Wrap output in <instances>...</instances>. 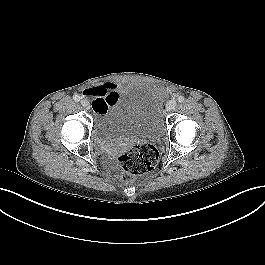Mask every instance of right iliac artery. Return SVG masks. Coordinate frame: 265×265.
Masks as SVG:
<instances>
[{
    "label": "right iliac artery",
    "instance_id": "82829eb1",
    "mask_svg": "<svg viewBox=\"0 0 265 265\" xmlns=\"http://www.w3.org/2000/svg\"><path fill=\"white\" fill-rule=\"evenodd\" d=\"M73 99H74V101L79 102L81 97L79 95H74Z\"/></svg>",
    "mask_w": 265,
    "mask_h": 265
}]
</instances>
